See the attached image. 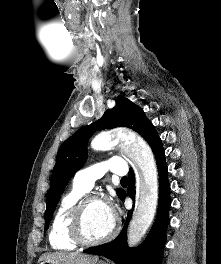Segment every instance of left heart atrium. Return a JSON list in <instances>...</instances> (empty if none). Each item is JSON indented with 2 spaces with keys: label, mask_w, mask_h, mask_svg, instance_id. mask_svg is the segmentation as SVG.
Returning <instances> with one entry per match:
<instances>
[{
  "label": "left heart atrium",
  "mask_w": 221,
  "mask_h": 264,
  "mask_svg": "<svg viewBox=\"0 0 221 264\" xmlns=\"http://www.w3.org/2000/svg\"><path fill=\"white\" fill-rule=\"evenodd\" d=\"M107 207H108L110 213L112 214V216L114 217V214H115L114 207L113 206H108V205H107Z\"/></svg>",
  "instance_id": "left-heart-atrium-1"
}]
</instances>
